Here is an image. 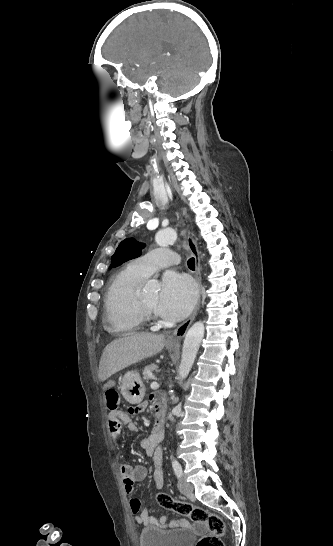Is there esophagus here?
<instances>
[{
    "instance_id": "1",
    "label": "esophagus",
    "mask_w": 333,
    "mask_h": 546,
    "mask_svg": "<svg viewBox=\"0 0 333 546\" xmlns=\"http://www.w3.org/2000/svg\"><path fill=\"white\" fill-rule=\"evenodd\" d=\"M187 243H188V247H189V250L190 252L192 253V255L194 256L195 258V273H194V276H195V279L198 283V286H199V299H198V302L195 306V309L193 310L192 314L189 316L188 319H186L181 325H179L175 330L174 332L172 333V335L169 337L168 339V342L170 344H173V345H178L180 344L182 338L185 336L188 328L190 327V325L192 324L193 320L195 319L196 315H197V312L199 310V307H200V299H201V281H202V276H201V265H200V256H199V250H198V247H197V244L195 242V239L193 237V234L189 231L188 234H187Z\"/></svg>"
}]
</instances>
